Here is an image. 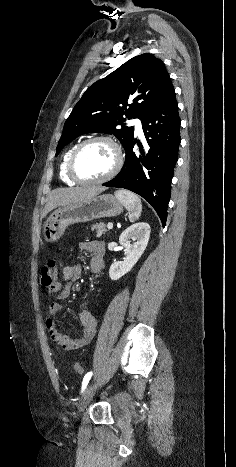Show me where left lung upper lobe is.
Returning a JSON list of instances; mask_svg holds the SVG:
<instances>
[{
	"label": "left lung upper lobe",
	"mask_w": 236,
	"mask_h": 467,
	"mask_svg": "<svg viewBox=\"0 0 236 467\" xmlns=\"http://www.w3.org/2000/svg\"><path fill=\"white\" fill-rule=\"evenodd\" d=\"M172 87L161 59L144 53L128 60L107 77L92 84L65 122L56 155L80 135L114 134L125 147L134 128L127 119H142Z\"/></svg>",
	"instance_id": "left-lung-upper-lobe-1"
}]
</instances>
